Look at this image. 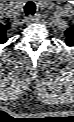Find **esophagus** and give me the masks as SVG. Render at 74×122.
<instances>
[{"mask_svg": "<svg viewBox=\"0 0 74 122\" xmlns=\"http://www.w3.org/2000/svg\"><path fill=\"white\" fill-rule=\"evenodd\" d=\"M40 18H41V16H40V14H35L34 16H30L29 17V20L30 21H39L40 20Z\"/></svg>", "mask_w": 74, "mask_h": 122, "instance_id": "34e87169", "label": "esophagus"}]
</instances>
